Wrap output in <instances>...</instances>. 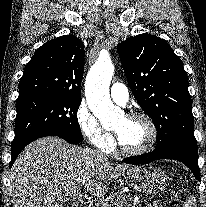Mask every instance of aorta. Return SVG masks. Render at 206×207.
I'll return each mask as SVG.
<instances>
[{
  "label": "aorta",
  "instance_id": "obj_1",
  "mask_svg": "<svg viewBox=\"0 0 206 207\" xmlns=\"http://www.w3.org/2000/svg\"><path fill=\"white\" fill-rule=\"evenodd\" d=\"M113 73L114 65L110 58L100 56L88 73L85 82L88 106L104 127L110 125L120 113L109 95V84Z\"/></svg>",
  "mask_w": 206,
  "mask_h": 207
}]
</instances>
